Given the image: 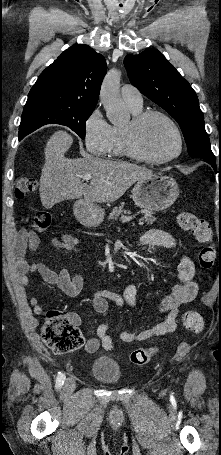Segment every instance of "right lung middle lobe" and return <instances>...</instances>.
Instances as JSON below:
<instances>
[{"label":"right lung middle lobe","mask_w":221,"mask_h":455,"mask_svg":"<svg viewBox=\"0 0 221 455\" xmlns=\"http://www.w3.org/2000/svg\"><path fill=\"white\" fill-rule=\"evenodd\" d=\"M95 107H76L58 104H30L23 109L19 127V139L46 124H60L69 127L82 139L85 138L86 121Z\"/></svg>","instance_id":"dd1d6c3e"}]
</instances>
